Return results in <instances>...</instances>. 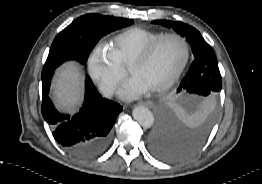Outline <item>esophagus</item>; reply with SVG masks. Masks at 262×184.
<instances>
[{"label":"esophagus","instance_id":"1","mask_svg":"<svg viewBox=\"0 0 262 184\" xmlns=\"http://www.w3.org/2000/svg\"><path fill=\"white\" fill-rule=\"evenodd\" d=\"M139 104L143 105V106H146V107H149V108H152L154 106V103L152 101H150V100L142 101Z\"/></svg>","mask_w":262,"mask_h":184}]
</instances>
